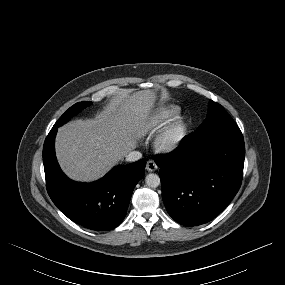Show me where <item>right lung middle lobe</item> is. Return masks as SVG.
<instances>
[{
  "instance_id": "right-lung-middle-lobe-1",
  "label": "right lung middle lobe",
  "mask_w": 285,
  "mask_h": 285,
  "mask_svg": "<svg viewBox=\"0 0 285 285\" xmlns=\"http://www.w3.org/2000/svg\"><path fill=\"white\" fill-rule=\"evenodd\" d=\"M92 102H79L74 104L72 107H70L56 122V126L59 127L66 123L71 117H73L76 113H78L81 109L91 105Z\"/></svg>"
}]
</instances>
